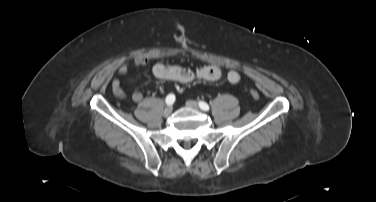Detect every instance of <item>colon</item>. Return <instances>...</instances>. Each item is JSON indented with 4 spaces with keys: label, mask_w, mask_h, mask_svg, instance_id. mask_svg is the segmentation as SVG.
I'll use <instances>...</instances> for the list:
<instances>
[{
    "label": "colon",
    "mask_w": 376,
    "mask_h": 202,
    "mask_svg": "<svg viewBox=\"0 0 376 202\" xmlns=\"http://www.w3.org/2000/svg\"><path fill=\"white\" fill-rule=\"evenodd\" d=\"M250 95H251L252 98H254V99L259 98V93H258L256 90H251V91H250Z\"/></svg>",
    "instance_id": "5ec220e1"
}]
</instances>
